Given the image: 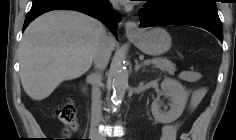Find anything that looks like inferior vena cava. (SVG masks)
<instances>
[{
    "label": "inferior vena cava",
    "mask_w": 236,
    "mask_h": 140,
    "mask_svg": "<svg viewBox=\"0 0 236 140\" xmlns=\"http://www.w3.org/2000/svg\"><path fill=\"white\" fill-rule=\"evenodd\" d=\"M113 6L116 7V3H113ZM112 51V37L109 35L104 36L94 53V66L97 70L92 74V120L95 124L100 123L102 119L101 111V93L99 89V83L102 79V71L106 68Z\"/></svg>",
    "instance_id": "602c4592"
}]
</instances>
